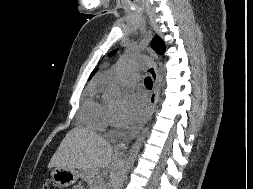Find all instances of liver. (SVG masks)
Listing matches in <instances>:
<instances>
[{"instance_id": "obj_1", "label": "liver", "mask_w": 253, "mask_h": 189, "mask_svg": "<svg viewBox=\"0 0 253 189\" xmlns=\"http://www.w3.org/2000/svg\"><path fill=\"white\" fill-rule=\"evenodd\" d=\"M117 158L112 147L97 133L76 127L66 134L48 167L78 168L90 189H99L103 182L101 170Z\"/></svg>"}]
</instances>
